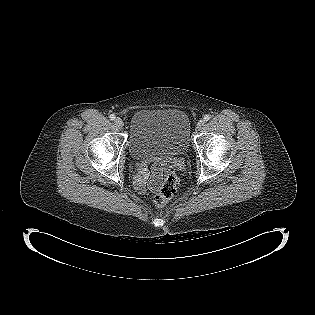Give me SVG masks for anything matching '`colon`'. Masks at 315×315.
<instances>
[{"label":"colon","instance_id":"colon-1","mask_svg":"<svg viewBox=\"0 0 315 315\" xmlns=\"http://www.w3.org/2000/svg\"><path fill=\"white\" fill-rule=\"evenodd\" d=\"M163 180L156 191L154 202L157 208H162L169 200L173 198L177 189V176L173 172H167L162 175Z\"/></svg>","mask_w":315,"mask_h":315}]
</instances>
